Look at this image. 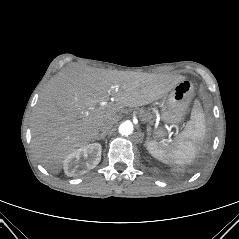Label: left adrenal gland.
Here are the masks:
<instances>
[{"label":"left adrenal gland","instance_id":"a2214340","mask_svg":"<svg viewBox=\"0 0 239 239\" xmlns=\"http://www.w3.org/2000/svg\"><path fill=\"white\" fill-rule=\"evenodd\" d=\"M150 131H151V128L149 125H147V141L149 139V136L151 135ZM144 146H145V144H144Z\"/></svg>","mask_w":239,"mask_h":239}]
</instances>
